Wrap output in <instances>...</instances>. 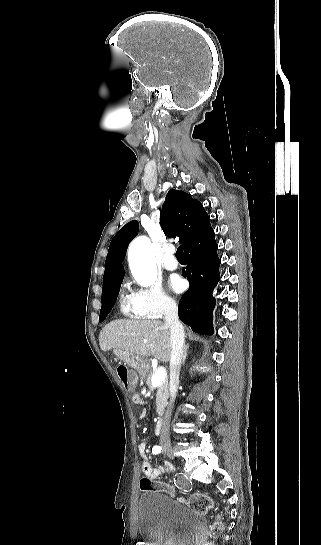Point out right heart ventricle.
Masks as SVG:
<instances>
[{"label": "right heart ventricle", "instance_id": "1", "mask_svg": "<svg viewBox=\"0 0 321 545\" xmlns=\"http://www.w3.org/2000/svg\"><path fill=\"white\" fill-rule=\"evenodd\" d=\"M120 312L123 316L131 319H140L141 317L135 312L134 307L128 297L122 296L120 299Z\"/></svg>", "mask_w": 321, "mask_h": 545}]
</instances>
